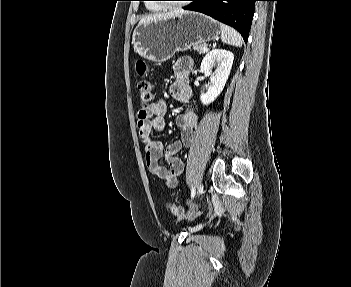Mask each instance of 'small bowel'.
I'll use <instances>...</instances> for the list:
<instances>
[{"mask_svg":"<svg viewBox=\"0 0 351 287\" xmlns=\"http://www.w3.org/2000/svg\"><path fill=\"white\" fill-rule=\"evenodd\" d=\"M173 73L175 81L170 87V95L185 106L184 112L176 118V124L181 130L180 139L164 146L160 141L150 138L154 130H162L165 126L163 117L167 111V104L163 99L141 108L138 112L137 122L139 135L144 144L148 169L170 187L177 185L178 177L184 170L183 161L177 154L183 147L192 146L198 123L197 114L190 104L192 96V89L188 83L190 62L184 60L176 64ZM163 161L167 165H164Z\"/></svg>","mask_w":351,"mask_h":287,"instance_id":"obj_1","label":"small bowel"}]
</instances>
